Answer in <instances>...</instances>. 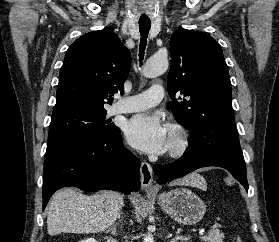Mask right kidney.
Here are the masks:
<instances>
[{
	"label": "right kidney",
	"instance_id": "1",
	"mask_svg": "<svg viewBox=\"0 0 279 242\" xmlns=\"http://www.w3.org/2000/svg\"><path fill=\"white\" fill-rule=\"evenodd\" d=\"M79 242H97L94 238H87Z\"/></svg>",
	"mask_w": 279,
	"mask_h": 242
}]
</instances>
